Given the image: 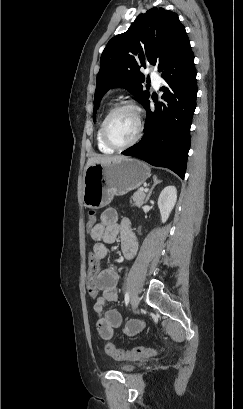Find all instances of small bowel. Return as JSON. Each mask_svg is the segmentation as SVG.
Segmentation results:
<instances>
[{"label": "small bowel", "instance_id": "obj_1", "mask_svg": "<svg viewBox=\"0 0 243 409\" xmlns=\"http://www.w3.org/2000/svg\"><path fill=\"white\" fill-rule=\"evenodd\" d=\"M95 242L93 254L89 259L88 289L101 291L93 306L96 314V327L100 337L110 340L114 330L122 327L121 314L115 310H105L107 303L118 298V274L113 267L99 268V261L109 256L108 244L114 243L118 236L121 239V253L126 260L135 257L138 244L135 234L130 228L129 219L118 221V213L114 209H106L101 214L100 222L90 231ZM95 267V273L92 268ZM141 329V323L133 322L126 326L125 331L134 334Z\"/></svg>", "mask_w": 243, "mask_h": 409}]
</instances>
